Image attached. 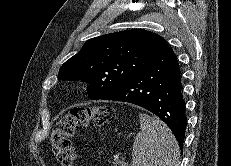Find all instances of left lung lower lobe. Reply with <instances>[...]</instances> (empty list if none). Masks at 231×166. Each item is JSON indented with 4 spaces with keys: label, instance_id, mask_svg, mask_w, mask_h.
<instances>
[{
    "label": "left lung lower lobe",
    "instance_id": "obj_1",
    "mask_svg": "<svg viewBox=\"0 0 231 166\" xmlns=\"http://www.w3.org/2000/svg\"><path fill=\"white\" fill-rule=\"evenodd\" d=\"M101 99L128 102L151 111L170 127L182 147L187 122L185 103L180 68L169 46Z\"/></svg>",
    "mask_w": 231,
    "mask_h": 166
}]
</instances>
